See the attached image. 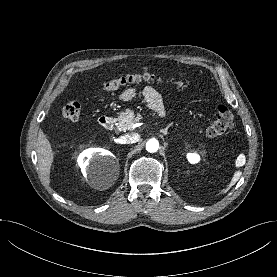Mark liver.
Listing matches in <instances>:
<instances>
[{"label": "liver", "instance_id": "obj_1", "mask_svg": "<svg viewBox=\"0 0 277 277\" xmlns=\"http://www.w3.org/2000/svg\"><path fill=\"white\" fill-rule=\"evenodd\" d=\"M37 155L41 175L49 182L50 169L54 159V152L51 143L47 139L43 130H40L37 138Z\"/></svg>", "mask_w": 277, "mask_h": 277}]
</instances>
